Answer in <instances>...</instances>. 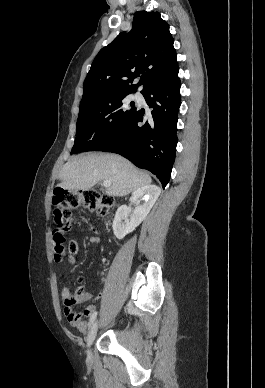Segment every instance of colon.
Wrapping results in <instances>:
<instances>
[{
	"label": "colon",
	"mask_w": 265,
	"mask_h": 388,
	"mask_svg": "<svg viewBox=\"0 0 265 388\" xmlns=\"http://www.w3.org/2000/svg\"><path fill=\"white\" fill-rule=\"evenodd\" d=\"M52 204L56 224L53 231L54 257L56 261L61 262L66 256L75 254L79 250V244L74 240H71L67 247L65 246L66 234L70 230L71 211L84 206L99 215H106L113 205V199L93 189L69 191L57 188L53 192ZM80 296L81 293H77L72 297L73 304L79 301ZM65 314L72 325L77 324L81 319L80 314L71 309H67Z\"/></svg>",
	"instance_id": "1"
}]
</instances>
